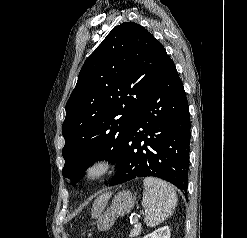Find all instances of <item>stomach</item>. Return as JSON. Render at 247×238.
<instances>
[{
  "instance_id": "stomach-1",
  "label": "stomach",
  "mask_w": 247,
  "mask_h": 238,
  "mask_svg": "<svg viewBox=\"0 0 247 238\" xmlns=\"http://www.w3.org/2000/svg\"><path fill=\"white\" fill-rule=\"evenodd\" d=\"M135 204V196L130 191L119 192L112 200L111 206L99 217L97 228L100 231L110 229L118 217L131 212Z\"/></svg>"
}]
</instances>
